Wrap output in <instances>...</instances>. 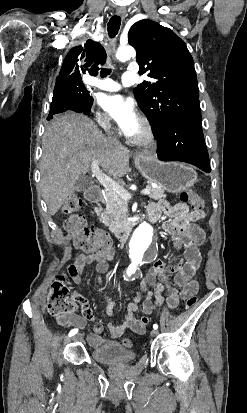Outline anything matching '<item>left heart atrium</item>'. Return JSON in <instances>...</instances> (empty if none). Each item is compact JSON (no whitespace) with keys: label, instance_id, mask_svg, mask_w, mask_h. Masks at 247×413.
Returning a JSON list of instances; mask_svg holds the SVG:
<instances>
[{"label":"left heart atrium","instance_id":"obj_1","mask_svg":"<svg viewBox=\"0 0 247 413\" xmlns=\"http://www.w3.org/2000/svg\"><path fill=\"white\" fill-rule=\"evenodd\" d=\"M100 102L102 107L117 119L124 135L131 137L141 126V116L130 99L122 95H104Z\"/></svg>","mask_w":247,"mask_h":413}]
</instances>
